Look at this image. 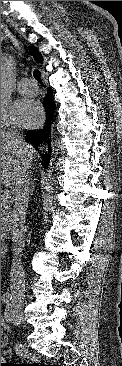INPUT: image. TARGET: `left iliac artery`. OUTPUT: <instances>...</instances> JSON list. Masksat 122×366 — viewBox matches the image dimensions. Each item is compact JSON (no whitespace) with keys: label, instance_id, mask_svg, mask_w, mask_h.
Wrapping results in <instances>:
<instances>
[{"label":"left iliac artery","instance_id":"1","mask_svg":"<svg viewBox=\"0 0 122 366\" xmlns=\"http://www.w3.org/2000/svg\"><path fill=\"white\" fill-rule=\"evenodd\" d=\"M12 313H13L12 308L9 307V305H8L7 310L5 312V318L7 321H11V320H8L7 318H9L12 315Z\"/></svg>","mask_w":122,"mask_h":366}]
</instances>
